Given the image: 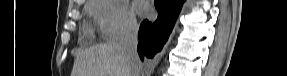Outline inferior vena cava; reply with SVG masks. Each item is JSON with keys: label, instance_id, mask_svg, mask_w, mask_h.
<instances>
[{"label": "inferior vena cava", "instance_id": "602c4592", "mask_svg": "<svg viewBox=\"0 0 287 76\" xmlns=\"http://www.w3.org/2000/svg\"><path fill=\"white\" fill-rule=\"evenodd\" d=\"M138 29L137 22L130 20L125 26L119 41L121 52L129 64V76H140V59L137 53Z\"/></svg>", "mask_w": 287, "mask_h": 76}]
</instances>
